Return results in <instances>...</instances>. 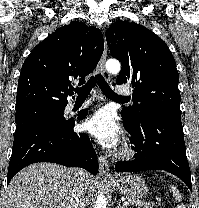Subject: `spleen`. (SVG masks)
<instances>
[{
  "instance_id": "spleen-1",
  "label": "spleen",
  "mask_w": 199,
  "mask_h": 208,
  "mask_svg": "<svg viewBox=\"0 0 199 208\" xmlns=\"http://www.w3.org/2000/svg\"><path fill=\"white\" fill-rule=\"evenodd\" d=\"M171 187H172V191H173V196L175 197L176 201L180 202L181 195H180L179 191H177L174 186H171ZM178 208H185V205L181 204L178 206Z\"/></svg>"
}]
</instances>
